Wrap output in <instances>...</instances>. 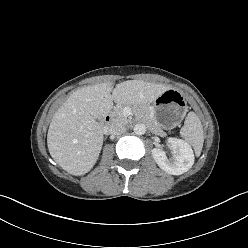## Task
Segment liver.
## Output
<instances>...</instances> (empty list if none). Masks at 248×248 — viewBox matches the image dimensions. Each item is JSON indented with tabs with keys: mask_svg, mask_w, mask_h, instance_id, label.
<instances>
[{
	"mask_svg": "<svg viewBox=\"0 0 248 248\" xmlns=\"http://www.w3.org/2000/svg\"><path fill=\"white\" fill-rule=\"evenodd\" d=\"M170 87L128 80L113 89L112 82L83 87L73 92L54 114L47 135L51 157L68 173L81 176L96 163L103 145V127L96 119L119 105L153 102ZM112 92V94H111Z\"/></svg>",
	"mask_w": 248,
	"mask_h": 248,
	"instance_id": "liver-1",
	"label": "liver"
}]
</instances>
